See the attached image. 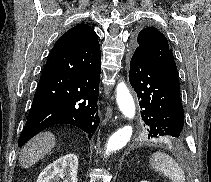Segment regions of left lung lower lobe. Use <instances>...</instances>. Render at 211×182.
<instances>
[{
    "label": "left lung lower lobe",
    "instance_id": "1",
    "mask_svg": "<svg viewBox=\"0 0 211 182\" xmlns=\"http://www.w3.org/2000/svg\"><path fill=\"white\" fill-rule=\"evenodd\" d=\"M129 81L137 93L148 139L178 141L184 135L180 90L140 50L130 61Z\"/></svg>",
    "mask_w": 211,
    "mask_h": 182
}]
</instances>
